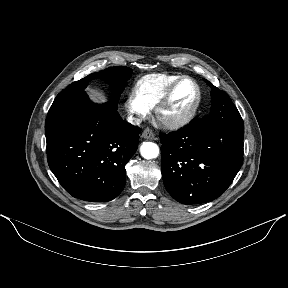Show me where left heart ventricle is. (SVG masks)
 <instances>
[{
  "instance_id": "left-heart-ventricle-1",
  "label": "left heart ventricle",
  "mask_w": 288,
  "mask_h": 288,
  "mask_svg": "<svg viewBox=\"0 0 288 288\" xmlns=\"http://www.w3.org/2000/svg\"><path fill=\"white\" fill-rule=\"evenodd\" d=\"M195 95L194 85L188 80L183 81L176 89L170 105L165 110V118L173 119L183 114L193 102Z\"/></svg>"
}]
</instances>
